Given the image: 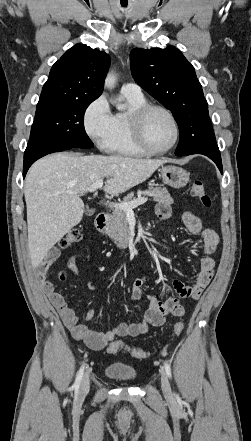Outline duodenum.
Wrapping results in <instances>:
<instances>
[{
    "mask_svg": "<svg viewBox=\"0 0 251 441\" xmlns=\"http://www.w3.org/2000/svg\"><path fill=\"white\" fill-rule=\"evenodd\" d=\"M108 221H109V214L106 212H101L96 216L95 226L97 230L103 235H107L108 233ZM116 245L119 248H125L127 246L126 243L118 242V241H116Z\"/></svg>",
    "mask_w": 251,
    "mask_h": 441,
    "instance_id": "1",
    "label": "duodenum"
}]
</instances>
